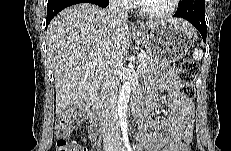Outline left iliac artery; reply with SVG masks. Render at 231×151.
Segmentation results:
<instances>
[{
  "label": "left iliac artery",
  "instance_id": "obj_1",
  "mask_svg": "<svg viewBox=\"0 0 231 151\" xmlns=\"http://www.w3.org/2000/svg\"><path fill=\"white\" fill-rule=\"evenodd\" d=\"M127 150H128V151H131V150H132L131 147H130V145H127Z\"/></svg>",
  "mask_w": 231,
  "mask_h": 151
}]
</instances>
